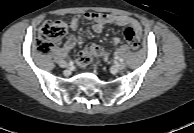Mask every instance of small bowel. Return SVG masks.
<instances>
[{
    "mask_svg": "<svg viewBox=\"0 0 194 133\" xmlns=\"http://www.w3.org/2000/svg\"><path fill=\"white\" fill-rule=\"evenodd\" d=\"M82 19L93 21L92 29L95 33L102 32L104 27L108 24L128 26V28L133 29V31L139 38L142 31L139 22L133 17L126 15L104 14L94 12H87L82 15L75 16L69 22V28L72 31H76L79 28ZM111 43L113 46H118L120 44V39L118 37H114ZM76 44H77L76 37L74 35H69L64 43L63 52L68 53L76 46ZM91 45L92 44H88L87 48L90 47ZM102 54L104 56H107L108 52L106 50H102Z\"/></svg>",
    "mask_w": 194,
    "mask_h": 133,
    "instance_id": "small-bowel-1",
    "label": "small bowel"
}]
</instances>
